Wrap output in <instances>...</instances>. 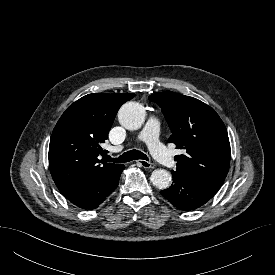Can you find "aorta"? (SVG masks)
I'll use <instances>...</instances> for the list:
<instances>
[{"label":"aorta","mask_w":275,"mask_h":275,"mask_svg":"<svg viewBox=\"0 0 275 275\" xmlns=\"http://www.w3.org/2000/svg\"><path fill=\"white\" fill-rule=\"evenodd\" d=\"M120 124L128 130L139 129L145 121V110L138 102H127L118 112ZM150 180L158 189H167L170 186L171 175L167 170L156 169L152 172Z\"/></svg>","instance_id":"1"}]
</instances>
